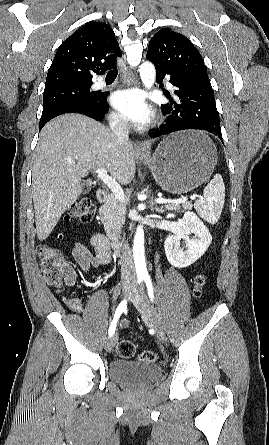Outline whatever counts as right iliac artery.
Listing matches in <instances>:
<instances>
[{"mask_svg": "<svg viewBox=\"0 0 269 445\" xmlns=\"http://www.w3.org/2000/svg\"><path fill=\"white\" fill-rule=\"evenodd\" d=\"M141 282H142V278H138V284H140ZM126 309H127V301L123 300L118 305V307L115 311L113 321L111 322V325L108 330L109 336H112L114 334L116 325H117V321H118L119 317L121 316V314L126 311Z\"/></svg>", "mask_w": 269, "mask_h": 445, "instance_id": "1", "label": "right iliac artery"}]
</instances>
